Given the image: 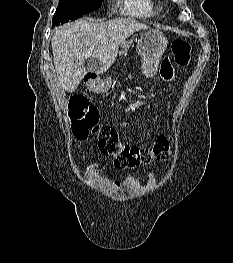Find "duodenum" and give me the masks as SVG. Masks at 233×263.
Segmentation results:
<instances>
[{"label": "duodenum", "mask_w": 233, "mask_h": 263, "mask_svg": "<svg viewBox=\"0 0 233 263\" xmlns=\"http://www.w3.org/2000/svg\"><path fill=\"white\" fill-rule=\"evenodd\" d=\"M95 78H96L95 75H90V76H89V79H90V80H95Z\"/></svg>", "instance_id": "duodenum-1"}]
</instances>
